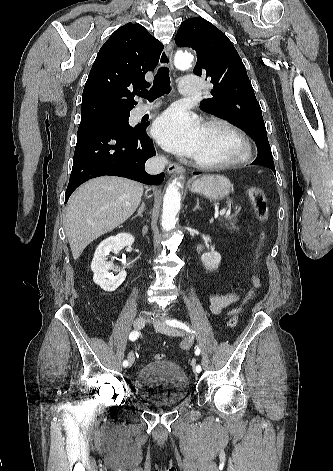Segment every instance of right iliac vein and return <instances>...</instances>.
Segmentation results:
<instances>
[{"mask_svg": "<svg viewBox=\"0 0 333 471\" xmlns=\"http://www.w3.org/2000/svg\"><path fill=\"white\" fill-rule=\"evenodd\" d=\"M145 324H146V319H145V317H138V318H136V320L134 321L133 326H134V328H135L136 330H141V329L144 328ZM134 360H135L134 353L131 352V353L128 355L129 366H132V364L134 363Z\"/></svg>", "mask_w": 333, "mask_h": 471, "instance_id": "right-iliac-vein-1", "label": "right iliac vein"}]
</instances>
